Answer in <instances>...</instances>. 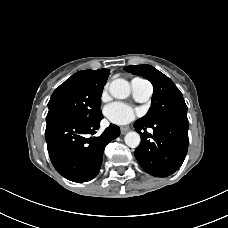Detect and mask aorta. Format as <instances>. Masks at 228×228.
Segmentation results:
<instances>
[{"label":"aorta","mask_w":228,"mask_h":228,"mask_svg":"<svg viewBox=\"0 0 228 228\" xmlns=\"http://www.w3.org/2000/svg\"><path fill=\"white\" fill-rule=\"evenodd\" d=\"M109 92L116 99H125L130 95V85L125 79L118 78L110 83ZM140 140V135L135 131L127 133L124 138L126 145L131 148L138 147Z\"/></svg>","instance_id":"1"}]
</instances>
